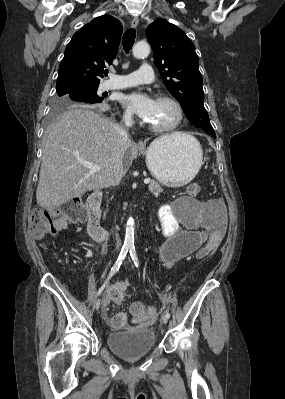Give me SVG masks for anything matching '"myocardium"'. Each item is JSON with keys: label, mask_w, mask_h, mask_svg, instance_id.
Wrapping results in <instances>:
<instances>
[{"label": "myocardium", "mask_w": 285, "mask_h": 399, "mask_svg": "<svg viewBox=\"0 0 285 399\" xmlns=\"http://www.w3.org/2000/svg\"><path fill=\"white\" fill-rule=\"evenodd\" d=\"M157 100L158 101H166V102L171 103L177 111V119L172 124H169V125L155 126V125H152L149 123L148 127L155 132H169V131L174 130L181 124L183 117H184V110H183L181 103L176 98H174L170 95H166V94L160 95L157 98Z\"/></svg>", "instance_id": "obj_1"}]
</instances>
